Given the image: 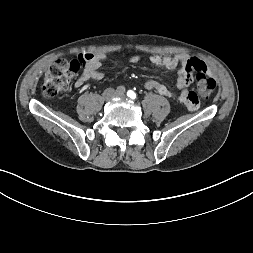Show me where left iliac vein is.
<instances>
[{"label": "left iliac vein", "mask_w": 253, "mask_h": 253, "mask_svg": "<svg viewBox=\"0 0 253 253\" xmlns=\"http://www.w3.org/2000/svg\"><path fill=\"white\" fill-rule=\"evenodd\" d=\"M116 96H117V97H120V98H124V97H125V95H124V94H121V93H117Z\"/></svg>", "instance_id": "left-iliac-vein-1"}]
</instances>
